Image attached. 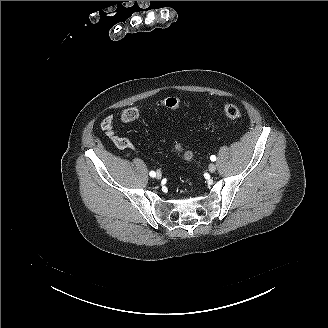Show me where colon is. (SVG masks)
Listing matches in <instances>:
<instances>
[{"mask_svg": "<svg viewBox=\"0 0 328 328\" xmlns=\"http://www.w3.org/2000/svg\"><path fill=\"white\" fill-rule=\"evenodd\" d=\"M159 105L165 106L171 109H177L180 106V101L176 97H167L158 102ZM223 112L229 119H238L241 116L240 109L234 104H226L223 108ZM141 113V109L137 106L127 108L121 113V121L124 123H129L136 120ZM172 148L182 155L186 161L193 160V154L191 151L184 150L182 145L179 143H174Z\"/></svg>", "mask_w": 328, "mask_h": 328, "instance_id": "5ec220e1", "label": "colon"}]
</instances>
